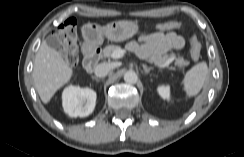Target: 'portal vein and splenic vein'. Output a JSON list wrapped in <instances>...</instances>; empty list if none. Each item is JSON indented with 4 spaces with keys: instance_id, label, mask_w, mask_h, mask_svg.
<instances>
[{
    "instance_id": "1",
    "label": "portal vein and splenic vein",
    "mask_w": 244,
    "mask_h": 157,
    "mask_svg": "<svg viewBox=\"0 0 244 157\" xmlns=\"http://www.w3.org/2000/svg\"><path fill=\"white\" fill-rule=\"evenodd\" d=\"M125 53H126L125 50H123V49H117V50H115V51L112 53L111 57H112L113 59H120V58L123 57V55H124ZM168 65H169V61L166 62L165 64H163L162 66H159V67L164 68V67H167Z\"/></svg>"
}]
</instances>
